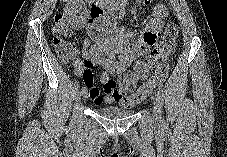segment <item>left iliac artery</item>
I'll list each match as a JSON object with an SVG mask.
<instances>
[{"label": "left iliac artery", "instance_id": "1", "mask_svg": "<svg viewBox=\"0 0 227 157\" xmlns=\"http://www.w3.org/2000/svg\"><path fill=\"white\" fill-rule=\"evenodd\" d=\"M156 94H157V97L159 98V100L161 101V104H162V102L164 101V94H163L162 90L160 88H158L156 90Z\"/></svg>", "mask_w": 227, "mask_h": 157}]
</instances>
